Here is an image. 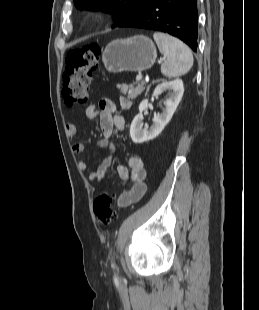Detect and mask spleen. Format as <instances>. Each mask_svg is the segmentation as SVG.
Here are the masks:
<instances>
[{
    "label": "spleen",
    "instance_id": "spleen-1",
    "mask_svg": "<svg viewBox=\"0 0 259 310\" xmlns=\"http://www.w3.org/2000/svg\"><path fill=\"white\" fill-rule=\"evenodd\" d=\"M153 38L159 51L166 56V60L161 65V73L164 76L179 77L190 71L193 66V55L187 45L161 32H155Z\"/></svg>",
    "mask_w": 259,
    "mask_h": 310
}]
</instances>
